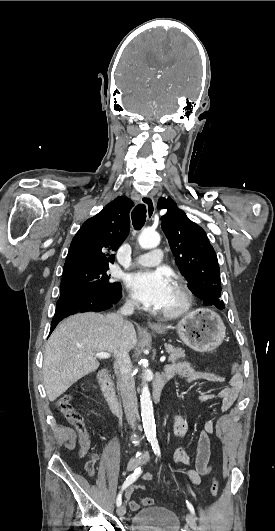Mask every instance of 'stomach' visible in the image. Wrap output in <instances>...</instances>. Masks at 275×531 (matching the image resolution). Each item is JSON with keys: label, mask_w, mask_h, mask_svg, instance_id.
I'll list each match as a JSON object with an SVG mask.
<instances>
[{"label": "stomach", "mask_w": 275, "mask_h": 531, "mask_svg": "<svg viewBox=\"0 0 275 531\" xmlns=\"http://www.w3.org/2000/svg\"><path fill=\"white\" fill-rule=\"evenodd\" d=\"M169 329H176L181 341L198 353H209L221 345L225 337V325L211 309H195L178 321L176 327L162 325L153 329L156 333H166Z\"/></svg>", "instance_id": "obj_1"}]
</instances>
